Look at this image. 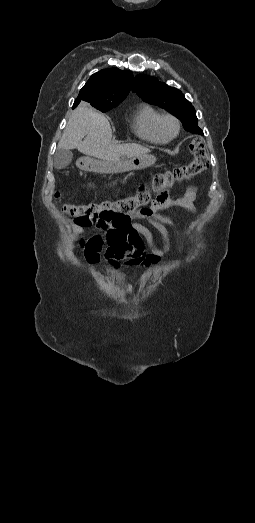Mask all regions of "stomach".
Wrapping results in <instances>:
<instances>
[{
    "mask_svg": "<svg viewBox=\"0 0 255 523\" xmlns=\"http://www.w3.org/2000/svg\"><path fill=\"white\" fill-rule=\"evenodd\" d=\"M152 164H154L152 156H134V158H131V160H128L125 164H121L120 167L118 165H111L108 172L111 176H118L120 172L144 170V168H148V166H152Z\"/></svg>",
    "mask_w": 255,
    "mask_h": 523,
    "instance_id": "0dacf381",
    "label": "stomach"
}]
</instances>
